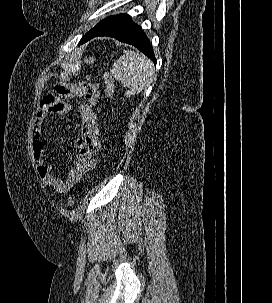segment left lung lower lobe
<instances>
[{"label": "left lung lower lobe", "instance_id": "0a47b994", "mask_svg": "<svg viewBox=\"0 0 272 303\" xmlns=\"http://www.w3.org/2000/svg\"><path fill=\"white\" fill-rule=\"evenodd\" d=\"M98 36L113 37L121 42L133 45L156 63L149 39L141 27L133 23L127 14L111 16L101 21L83 36L79 44Z\"/></svg>", "mask_w": 272, "mask_h": 303}]
</instances>
